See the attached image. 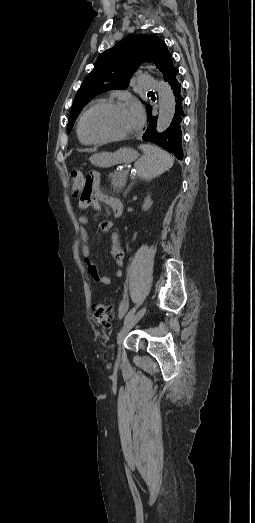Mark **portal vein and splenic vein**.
I'll list each match as a JSON object with an SVG mask.
<instances>
[{"mask_svg": "<svg viewBox=\"0 0 255 523\" xmlns=\"http://www.w3.org/2000/svg\"><path fill=\"white\" fill-rule=\"evenodd\" d=\"M123 172H124L125 174H128V173L130 172V169H129L128 167H125V168L123 169Z\"/></svg>", "mask_w": 255, "mask_h": 523, "instance_id": "obj_1", "label": "portal vein and splenic vein"}]
</instances>
